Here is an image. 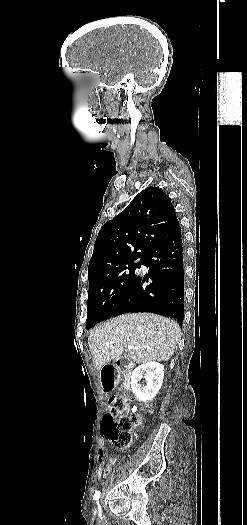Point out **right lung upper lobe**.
I'll use <instances>...</instances> for the list:
<instances>
[{
  "mask_svg": "<svg viewBox=\"0 0 247 525\" xmlns=\"http://www.w3.org/2000/svg\"><path fill=\"white\" fill-rule=\"evenodd\" d=\"M179 228L169 196L160 188L147 187L100 229L88 274L129 265Z\"/></svg>",
  "mask_w": 247,
  "mask_h": 525,
  "instance_id": "obj_1",
  "label": "right lung upper lobe"
}]
</instances>
